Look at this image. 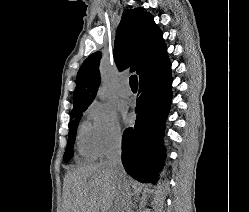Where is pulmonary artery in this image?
I'll return each mask as SVG.
<instances>
[{
	"instance_id": "pulmonary-artery-1",
	"label": "pulmonary artery",
	"mask_w": 249,
	"mask_h": 212,
	"mask_svg": "<svg viewBox=\"0 0 249 212\" xmlns=\"http://www.w3.org/2000/svg\"><path fill=\"white\" fill-rule=\"evenodd\" d=\"M118 94L121 98H128L131 95V88L129 85V79L125 76L118 88Z\"/></svg>"
}]
</instances>
